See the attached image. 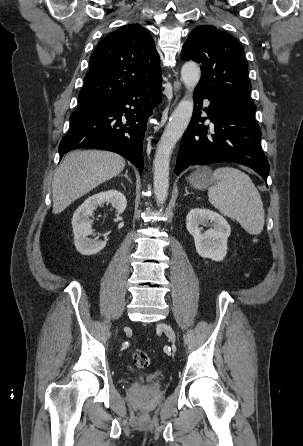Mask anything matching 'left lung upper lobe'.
I'll return each mask as SVG.
<instances>
[{
	"instance_id": "obj_1",
	"label": "left lung upper lobe",
	"mask_w": 303,
	"mask_h": 446,
	"mask_svg": "<svg viewBox=\"0 0 303 446\" xmlns=\"http://www.w3.org/2000/svg\"><path fill=\"white\" fill-rule=\"evenodd\" d=\"M181 57L201 64L198 88L228 98L254 118L244 50L232 35L211 25L198 26L183 45Z\"/></svg>"
}]
</instances>
